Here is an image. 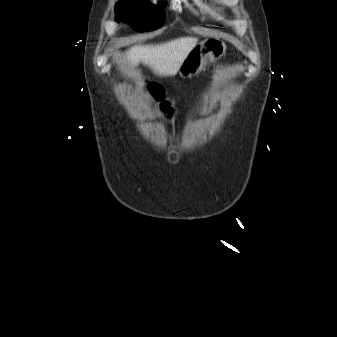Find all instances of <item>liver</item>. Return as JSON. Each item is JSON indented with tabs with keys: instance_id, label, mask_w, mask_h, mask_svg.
Masks as SVG:
<instances>
[{
	"instance_id": "liver-1",
	"label": "liver",
	"mask_w": 337,
	"mask_h": 337,
	"mask_svg": "<svg viewBox=\"0 0 337 337\" xmlns=\"http://www.w3.org/2000/svg\"><path fill=\"white\" fill-rule=\"evenodd\" d=\"M197 42V38L183 37L162 44L136 45L127 51V60L132 66L142 62L160 77L174 76Z\"/></svg>"
}]
</instances>
